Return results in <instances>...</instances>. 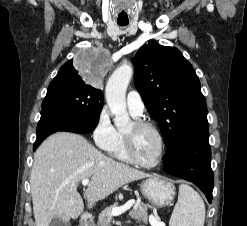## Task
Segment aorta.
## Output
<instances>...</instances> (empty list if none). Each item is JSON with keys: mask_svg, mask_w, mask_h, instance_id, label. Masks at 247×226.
Instances as JSON below:
<instances>
[{"mask_svg": "<svg viewBox=\"0 0 247 226\" xmlns=\"http://www.w3.org/2000/svg\"><path fill=\"white\" fill-rule=\"evenodd\" d=\"M133 75V68L123 63L110 76L105 90L106 102L114 115L117 128L127 127L130 117L126 110V90Z\"/></svg>", "mask_w": 247, "mask_h": 226, "instance_id": "aorta-1", "label": "aorta"}]
</instances>
